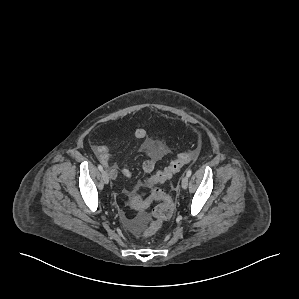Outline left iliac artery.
Wrapping results in <instances>:
<instances>
[{"mask_svg": "<svg viewBox=\"0 0 299 299\" xmlns=\"http://www.w3.org/2000/svg\"><path fill=\"white\" fill-rule=\"evenodd\" d=\"M192 174V170L191 169H188L187 172H186V176L187 177H190Z\"/></svg>", "mask_w": 299, "mask_h": 299, "instance_id": "44dca946", "label": "left iliac artery"}]
</instances>
